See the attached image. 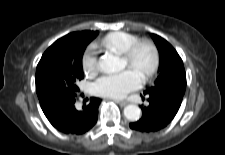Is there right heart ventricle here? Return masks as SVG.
<instances>
[{
  "label": "right heart ventricle",
  "instance_id": "obj_1",
  "mask_svg": "<svg viewBox=\"0 0 225 155\" xmlns=\"http://www.w3.org/2000/svg\"><path fill=\"white\" fill-rule=\"evenodd\" d=\"M137 40L138 37L129 32H110L99 41L98 48L122 54Z\"/></svg>",
  "mask_w": 225,
  "mask_h": 155
}]
</instances>
